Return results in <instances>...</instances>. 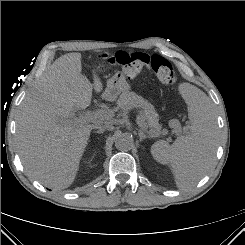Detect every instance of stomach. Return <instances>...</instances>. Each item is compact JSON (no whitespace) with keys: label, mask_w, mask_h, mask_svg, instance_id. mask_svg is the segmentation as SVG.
<instances>
[{"label":"stomach","mask_w":245,"mask_h":245,"mask_svg":"<svg viewBox=\"0 0 245 245\" xmlns=\"http://www.w3.org/2000/svg\"><path fill=\"white\" fill-rule=\"evenodd\" d=\"M130 90V85L123 72L117 71L107 82L105 97L109 100H115L122 94Z\"/></svg>","instance_id":"obj_1"}]
</instances>
